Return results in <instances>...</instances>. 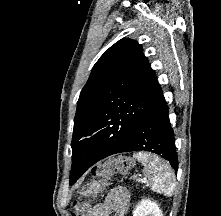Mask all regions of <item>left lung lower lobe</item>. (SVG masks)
Wrapping results in <instances>:
<instances>
[{
  "label": "left lung lower lobe",
  "mask_w": 221,
  "mask_h": 216,
  "mask_svg": "<svg viewBox=\"0 0 221 216\" xmlns=\"http://www.w3.org/2000/svg\"><path fill=\"white\" fill-rule=\"evenodd\" d=\"M131 151L156 153L167 159L175 171L178 170L174 133L168 117V107L158 82L154 101L145 117L136 127L130 140L123 147L116 150L109 145L99 144L83 151L81 155L82 168L70 185L101 159L116 153Z\"/></svg>",
  "instance_id": "1"
}]
</instances>
